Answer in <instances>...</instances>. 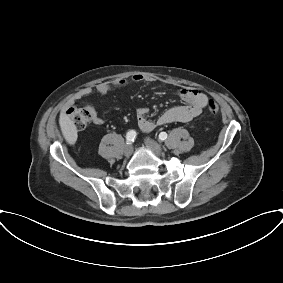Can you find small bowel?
<instances>
[{"instance_id": "small-bowel-1", "label": "small bowel", "mask_w": 283, "mask_h": 283, "mask_svg": "<svg viewBox=\"0 0 283 283\" xmlns=\"http://www.w3.org/2000/svg\"><path fill=\"white\" fill-rule=\"evenodd\" d=\"M155 79L151 76L136 74L130 80L121 79L114 83L103 82L97 85L96 92L106 95L112 91L113 87H125L129 84L152 83ZM92 89H82L78 98H86L92 94ZM180 98L186 103L165 110L156 120L147 118L149 110L146 107H139L136 110V118L139 128L143 132H150L157 126L170 124L173 122H188L200 115L202 109L208 103V96L196 89L185 88L179 93ZM92 114V121L96 125L104 124L105 120L96 112L92 106H87Z\"/></svg>"}]
</instances>
